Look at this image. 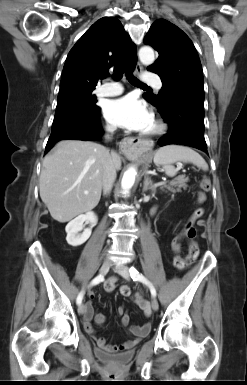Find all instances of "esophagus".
<instances>
[{
  "instance_id": "34e87169",
  "label": "esophagus",
  "mask_w": 247,
  "mask_h": 385,
  "mask_svg": "<svg viewBox=\"0 0 247 385\" xmlns=\"http://www.w3.org/2000/svg\"><path fill=\"white\" fill-rule=\"evenodd\" d=\"M142 69L143 68L141 64L138 62L135 68V73L140 74L142 72ZM120 148L125 155H131L135 151L142 149L140 141L130 137L124 138L122 140Z\"/></svg>"
}]
</instances>
